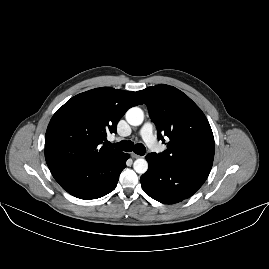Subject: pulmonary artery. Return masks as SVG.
<instances>
[{
  "label": "pulmonary artery",
  "mask_w": 269,
  "mask_h": 269,
  "mask_svg": "<svg viewBox=\"0 0 269 269\" xmlns=\"http://www.w3.org/2000/svg\"><path fill=\"white\" fill-rule=\"evenodd\" d=\"M140 137L148 147H152L156 142V133L151 123H145L139 131Z\"/></svg>",
  "instance_id": "pulmonary-artery-1"
}]
</instances>
